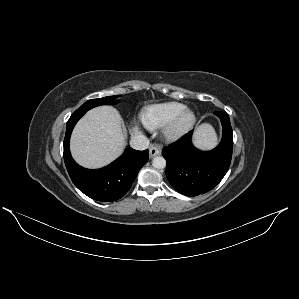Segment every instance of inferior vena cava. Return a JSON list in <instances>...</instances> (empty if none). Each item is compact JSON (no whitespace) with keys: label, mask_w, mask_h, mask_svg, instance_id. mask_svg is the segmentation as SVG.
Masks as SVG:
<instances>
[{"label":"inferior vena cava","mask_w":299,"mask_h":299,"mask_svg":"<svg viewBox=\"0 0 299 299\" xmlns=\"http://www.w3.org/2000/svg\"><path fill=\"white\" fill-rule=\"evenodd\" d=\"M130 145L136 150H145L149 146V139L142 134H136L131 137Z\"/></svg>","instance_id":"obj_1"}]
</instances>
